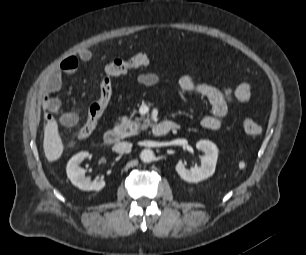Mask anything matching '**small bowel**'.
I'll return each mask as SVG.
<instances>
[{"label":"small bowel","mask_w":306,"mask_h":255,"mask_svg":"<svg viewBox=\"0 0 306 255\" xmlns=\"http://www.w3.org/2000/svg\"><path fill=\"white\" fill-rule=\"evenodd\" d=\"M91 58V51L82 49L76 56L64 58L58 67L46 76L43 108L48 121H52L49 113H53L58 115L60 123L66 127H72L78 122V115L73 111L64 110L60 99L55 94L61 88L63 75L74 73L78 69L79 61L87 62ZM136 78L139 84L147 87L156 85L160 80L154 72H139ZM178 87V96L182 101H185L189 94H196L210 103L211 113L200 119V125L209 130H218L223 126L232 102L247 103L251 98V85L247 82L239 84L235 89L220 88L208 83L196 82L189 75H182L178 79Z\"/></svg>","instance_id":"small-bowel-1"}]
</instances>
